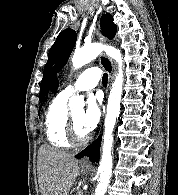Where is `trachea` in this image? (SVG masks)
I'll list each match as a JSON object with an SVG mask.
<instances>
[{
	"label": "trachea",
	"instance_id": "obj_1",
	"mask_svg": "<svg viewBox=\"0 0 178 195\" xmlns=\"http://www.w3.org/2000/svg\"><path fill=\"white\" fill-rule=\"evenodd\" d=\"M107 82H108V75L106 73L103 74V77H102V83L103 85H107Z\"/></svg>",
	"mask_w": 178,
	"mask_h": 195
}]
</instances>
